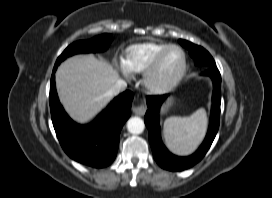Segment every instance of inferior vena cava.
<instances>
[{
	"label": "inferior vena cava",
	"instance_id": "602c4592",
	"mask_svg": "<svg viewBox=\"0 0 272 198\" xmlns=\"http://www.w3.org/2000/svg\"><path fill=\"white\" fill-rule=\"evenodd\" d=\"M127 87V83L124 80H118L115 85L107 91V96H115L124 91Z\"/></svg>",
	"mask_w": 272,
	"mask_h": 198
}]
</instances>
